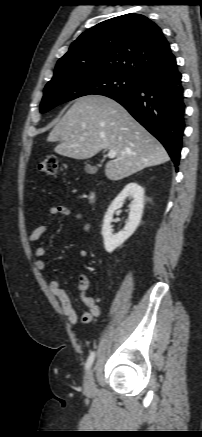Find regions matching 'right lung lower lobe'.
Returning a JSON list of instances; mask_svg holds the SVG:
<instances>
[{"instance_id":"1","label":"right lung lower lobe","mask_w":202,"mask_h":437,"mask_svg":"<svg viewBox=\"0 0 202 437\" xmlns=\"http://www.w3.org/2000/svg\"><path fill=\"white\" fill-rule=\"evenodd\" d=\"M181 78L174 59L139 78L131 90L109 96L163 144L175 165L185 128Z\"/></svg>"}]
</instances>
